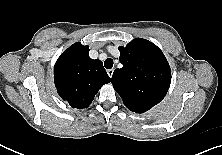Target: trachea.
Here are the masks:
<instances>
[{
    "label": "trachea",
    "mask_w": 222,
    "mask_h": 155,
    "mask_svg": "<svg viewBox=\"0 0 222 155\" xmlns=\"http://www.w3.org/2000/svg\"><path fill=\"white\" fill-rule=\"evenodd\" d=\"M104 66L106 69H111L113 67V60L111 58L106 59Z\"/></svg>",
    "instance_id": "trachea-1"
}]
</instances>
